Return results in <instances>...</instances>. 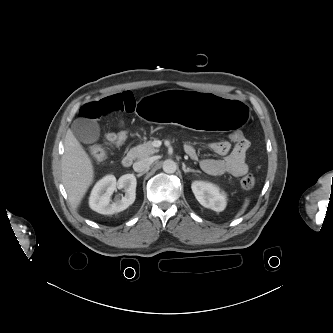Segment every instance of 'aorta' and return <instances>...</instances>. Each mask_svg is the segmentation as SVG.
Instances as JSON below:
<instances>
[{
  "mask_svg": "<svg viewBox=\"0 0 333 333\" xmlns=\"http://www.w3.org/2000/svg\"><path fill=\"white\" fill-rule=\"evenodd\" d=\"M177 170V164L175 161L168 159L163 162V171L165 173L171 174Z\"/></svg>",
  "mask_w": 333,
  "mask_h": 333,
  "instance_id": "obj_1",
  "label": "aorta"
}]
</instances>
